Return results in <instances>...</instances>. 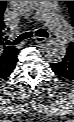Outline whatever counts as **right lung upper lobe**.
Wrapping results in <instances>:
<instances>
[{
	"label": "right lung upper lobe",
	"mask_w": 74,
	"mask_h": 122,
	"mask_svg": "<svg viewBox=\"0 0 74 122\" xmlns=\"http://www.w3.org/2000/svg\"><path fill=\"white\" fill-rule=\"evenodd\" d=\"M6 1H0V76L8 73L17 61L18 50L14 46H6L5 24L3 23V12Z\"/></svg>",
	"instance_id": "obj_1"
}]
</instances>
